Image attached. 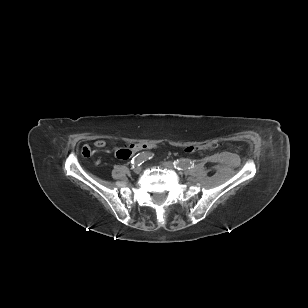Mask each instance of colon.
<instances>
[{"instance_id": "obj_1", "label": "colon", "mask_w": 308, "mask_h": 308, "mask_svg": "<svg viewBox=\"0 0 308 308\" xmlns=\"http://www.w3.org/2000/svg\"><path fill=\"white\" fill-rule=\"evenodd\" d=\"M219 146L218 142H209L205 145H195V146H189L186 148L187 153H196L199 151L204 150H212ZM151 149V146L149 144H131L130 142H127L125 144L124 148L118 149L116 152V156L120 159H127L129 158L132 153H135L136 151L144 152L149 151ZM83 156L86 158H90L92 156V151L88 146H85L82 150Z\"/></svg>"}]
</instances>
